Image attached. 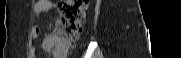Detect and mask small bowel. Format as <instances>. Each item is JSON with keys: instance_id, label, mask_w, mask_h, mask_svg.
<instances>
[{"instance_id": "small-bowel-1", "label": "small bowel", "mask_w": 181, "mask_h": 58, "mask_svg": "<svg viewBox=\"0 0 181 58\" xmlns=\"http://www.w3.org/2000/svg\"><path fill=\"white\" fill-rule=\"evenodd\" d=\"M55 7H56L55 2L51 0H38L34 5V14L36 19H39L43 13L54 9ZM39 33H40L39 28L35 27L33 29V36L38 37ZM48 39L49 37H47L42 43V48L45 50H48ZM33 54H35V49H33Z\"/></svg>"}]
</instances>
